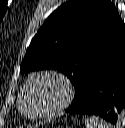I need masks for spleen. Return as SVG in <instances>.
<instances>
[{
	"label": "spleen",
	"instance_id": "3e777b00",
	"mask_svg": "<svg viewBox=\"0 0 125 128\" xmlns=\"http://www.w3.org/2000/svg\"><path fill=\"white\" fill-rule=\"evenodd\" d=\"M85 127L86 128H111V125H109L103 119H100L98 117H90L86 119Z\"/></svg>",
	"mask_w": 125,
	"mask_h": 128
}]
</instances>
